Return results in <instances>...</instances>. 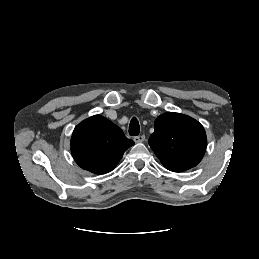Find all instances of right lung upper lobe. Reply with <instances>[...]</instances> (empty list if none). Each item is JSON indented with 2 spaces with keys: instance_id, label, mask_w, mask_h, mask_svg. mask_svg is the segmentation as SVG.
<instances>
[{
  "instance_id": "right-lung-upper-lobe-1",
  "label": "right lung upper lobe",
  "mask_w": 259,
  "mask_h": 259,
  "mask_svg": "<svg viewBox=\"0 0 259 259\" xmlns=\"http://www.w3.org/2000/svg\"><path fill=\"white\" fill-rule=\"evenodd\" d=\"M133 144L117 125L101 115H94L78 124L70 143L76 163L95 174L113 170Z\"/></svg>"
}]
</instances>
